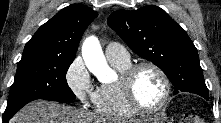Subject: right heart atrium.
I'll use <instances>...</instances> for the list:
<instances>
[{
	"mask_svg": "<svg viewBox=\"0 0 221 123\" xmlns=\"http://www.w3.org/2000/svg\"><path fill=\"white\" fill-rule=\"evenodd\" d=\"M65 80L76 98L84 106L95 103L97 89L94 87L91 76L81 58H75L69 65Z\"/></svg>",
	"mask_w": 221,
	"mask_h": 123,
	"instance_id": "1",
	"label": "right heart atrium"
}]
</instances>
